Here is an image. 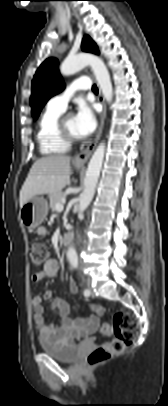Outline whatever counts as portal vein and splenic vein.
Wrapping results in <instances>:
<instances>
[{
	"mask_svg": "<svg viewBox=\"0 0 168 406\" xmlns=\"http://www.w3.org/2000/svg\"><path fill=\"white\" fill-rule=\"evenodd\" d=\"M63 209H64V206H63L62 203H57V204H56V210H57V211H62Z\"/></svg>",
	"mask_w": 168,
	"mask_h": 406,
	"instance_id": "portal-vein-and-splenic-vein-1",
	"label": "portal vein and splenic vein"
}]
</instances>
